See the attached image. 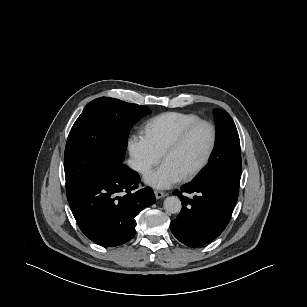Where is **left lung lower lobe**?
<instances>
[{
	"label": "left lung lower lobe",
	"mask_w": 307,
	"mask_h": 307,
	"mask_svg": "<svg viewBox=\"0 0 307 307\" xmlns=\"http://www.w3.org/2000/svg\"><path fill=\"white\" fill-rule=\"evenodd\" d=\"M183 192L197 195L188 199ZM173 194L181 199L183 206L170 228L180 242L190 247L203 246L222 233L239 195L217 180L195 181Z\"/></svg>",
	"instance_id": "0a47b994"
}]
</instances>
